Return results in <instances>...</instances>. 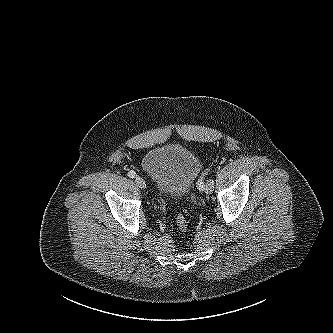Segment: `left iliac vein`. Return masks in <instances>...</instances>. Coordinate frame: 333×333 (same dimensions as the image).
<instances>
[{"label": "left iliac vein", "instance_id": "obj_1", "mask_svg": "<svg viewBox=\"0 0 333 333\" xmlns=\"http://www.w3.org/2000/svg\"><path fill=\"white\" fill-rule=\"evenodd\" d=\"M213 188H214V182L213 180H208V182L206 183V186H205V192L207 194H211L213 192Z\"/></svg>", "mask_w": 333, "mask_h": 333}]
</instances>
